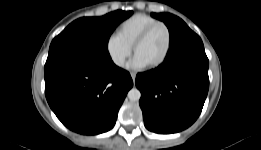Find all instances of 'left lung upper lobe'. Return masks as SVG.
I'll use <instances>...</instances> for the list:
<instances>
[{
	"instance_id": "obj_1",
	"label": "left lung upper lobe",
	"mask_w": 261,
	"mask_h": 150,
	"mask_svg": "<svg viewBox=\"0 0 261 150\" xmlns=\"http://www.w3.org/2000/svg\"><path fill=\"white\" fill-rule=\"evenodd\" d=\"M151 16L163 21L169 29L171 44L190 28L179 17L170 13H151Z\"/></svg>"
}]
</instances>
